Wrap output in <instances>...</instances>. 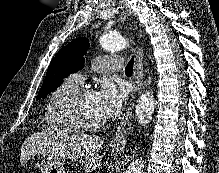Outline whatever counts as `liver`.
<instances>
[{
	"mask_svg": "<svg viewBox=\"0 0 219 173\" xmlns=\"http://www.w3.org/2000/svg\"><path fill=\"white\" fill-rule=\"evenodd\" d=\"M104 143L99 136L72 135L59 140L55 136L40 132L31 135L21 147V164H25L35 154H55L71 161H86L84 169L91 172L101 167V156L97 153Z\"/></svg>",
	"mask_w": 219,
	"mask_h": 173,
	"instance_id": "liver-1",
	"label": "liver"
}]
</instances>
